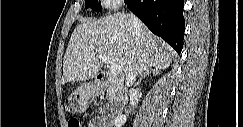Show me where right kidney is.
Wrapping results in <instances>:
<instances>
[{"instance_id":"right-kidney-1","label":"right kidney","mask_w":243,"mask_h":127,"mask_svg":"<svg viewBox=\"0 0 243 127\" xmlns=\"http://www.w3.org/2000/svg\"><path fill=\"white\" fill-rule=\"evenodd\" d=\"M126 122L125 115H119L115 118L114 124L116 127H121Z\"/></svg>"}]
</instances>
